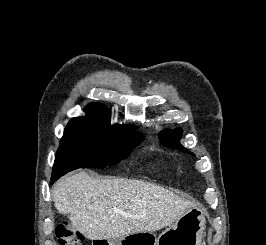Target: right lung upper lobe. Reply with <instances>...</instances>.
<instances>
[{"instance_id":"cb5924a9","label":"right lung upper lobe","mask_w":266,"mask_h":245,"mask_svg":"<svg viewBox=\"0 0 266 245\" xmlns=\"http://www.w3.org/2000/svg\"><path fill=\"white\" fill-rule=\"evenodd\" d=\"M87 118L89 119H97V120H105L109 121V114L107 110L98 104H90L86 107ZM83 118V117H79ZM122 126H133V125H122Z\"/></svg>"}]
</instances>
